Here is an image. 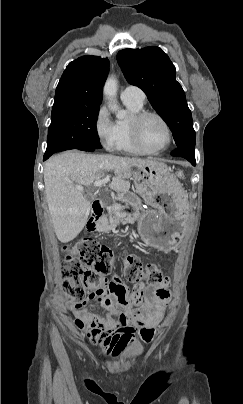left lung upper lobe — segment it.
<instances>
[{"label": "left lung upper lobe", "instance_id": "5c2ea615", "mask_svg": "<svg viewBox=\"0 0 243 404\" xmlns=\"http://www.w3.org/2000/svg\"><path fill=\"white\" fill-rule=\"evenodd\" d=\"M117 60L127 81L141 88L172 131L176 147L195 148L196 134L175 66L158 47L124 49Z\"/></svg>", "mask_w": 243, "mask_h": 404}]
</instances>
